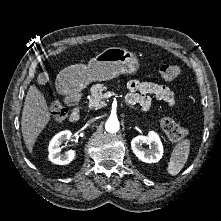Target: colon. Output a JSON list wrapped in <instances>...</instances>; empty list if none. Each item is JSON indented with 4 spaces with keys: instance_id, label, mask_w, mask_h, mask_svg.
I'll return each instance as SVG.
<instances>
[{
    "instance_id": "colon-1",
    "label": "colon",
    "mask_w": 221,
    "mask_h": 221,
    "mask_svg": "<svg viewBox=\"0 0 221 221\" xmlns=\"http://www.w3.org/2000/svg\"><path fill=\"white\" fill-rule=\"evenodd\" d=\"M160 74L165 81L173 82L179 78L181 74V68L177 64H167L161 67ZM48 109L50 119L55 124L63 122L68 113V109L59 101L54 99L49 100ZM161 125L166 136L171 141H180L187 137L189 133L186 127L180 126L170 117L162 118Z\"/></svg>"
}]
</instances>
